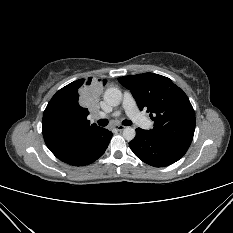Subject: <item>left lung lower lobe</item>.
Instances as JSON below:
<instances>
[{
    "mask_svg": "<svg viewBox=\"0 0 233 233\" xmlns=\"http://www.w3.org/2000/svg\"><path fill=\"white\" fill-rule=\"evenodd\" d=\"M131 150L143 162L164 167L178 161L188 150L189 146L161 141L148 131L136 129L135 138L129 142Z\"/></svg>",
    "mask_w": 233,
    "mask_h": 233,
    "instance_id": "0a47b994",
    "label": "left lung lower lobe"
}]
</instances>
